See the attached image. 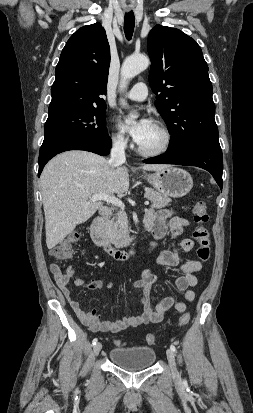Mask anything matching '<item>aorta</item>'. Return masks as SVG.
I'll list each match as a JSON object with an SVG mask.
<instances>
[{"label": "aorta", "instance_id": "obj_1", "mask_svg": "<svg viewBox=\"0 0 253 413\" xmlns=\"http://www.w3.org/2000/svg\"><path fill=\"white\" fill-rule=\"evenodd\" d=\"M148 66L149 58L145 55H132L126 58L121 67L120 90L123 91L127 87L128 82ZM121 103L125 104L126 102L122 99ZM136 118V114L130 113L127 120L134 121Z\"/></svg>", "mask_w": 253, "mask_h": 413}]
</instances>
